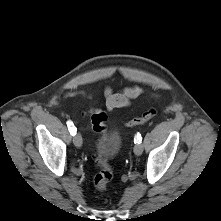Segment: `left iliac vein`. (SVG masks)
Segmentation results:
<instances>
[{
  "instance_id": "left-iliac-vein-1",
  "label": "left iliac vein",
  "mask_w": 221,
  "mask_h": 221,
  "mask_svg": "<svg viewBox=\"0 0 221 221\" xmlns=\"http://www.w3.org/2000/svg\"><path fill=\"white\" fill-rule=\"evenodd\" d=\"M143 152V145L141 143H137L135 146H134V153L136 155H141Z\"/></svg>"
}]
</instances>
